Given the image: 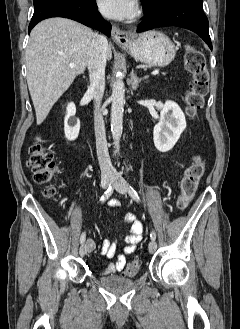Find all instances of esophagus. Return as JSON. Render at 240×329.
Returning <instances> with one entry per match:
<instances>
[{
  "instance_id": "34e87169",
  "label": "esophagus",
  "mask_w": 240,
  "mask_h": 329,
  "mask_svg": "<svg viewBox=\"0 0 240 329\" xmlns=\"http://www.w3.org/2000/svg\"><path fill=\"white\" fill-rule=\"evenodd\" d=\"M113 40L120 47H128L131 44V38L128 32L120 30L118 27L113 25L111 32Z\"/></svg>"
}]
</instances>
